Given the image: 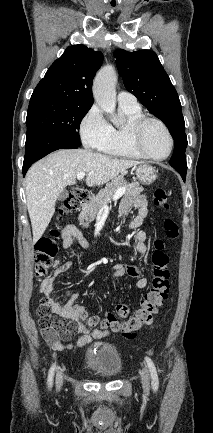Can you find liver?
I'll use <instances>...</instances> for the list:
<instances>
[{
    "label": "liver",
    "mask_w": 213,
    "mask_h": 433,
    "mask_svg": "<svg viewBox=\"0 0 213 433\" xmlns=\"http://www.w3.org/2000/svg\"><path fill=\"white\" fill-rule=\"evenodd\" d=\"M138 164L87 149L59 150L34 163L26 174L25 186L33 242L44 234L60 193L76 183L77 174L87 173L88 186L103 185Z\"/></svg>",
    "instance_id": "liver-1"
}]
</instances>
